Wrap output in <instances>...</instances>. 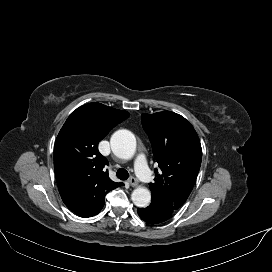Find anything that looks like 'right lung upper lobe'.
Here are the masks:
<instances>
[{
  "label": "right lung upper lobe",
  "mask_w": 272,
  "mask_h": 272,
  "mask_svg": "<svg viewBox=\"0 0 272 272\" xmlns=\"http://www.w3.org/2000/svg\"><path fill=\"white\" fill-rule=\"evenodd\" d=\"M129 113L100 103L77 108L61 128L54 148V170L65 205L80 217L100 212L105 195L123 185L108 176L98 143Z\"/></svg>",
  "instance_id": "right-lung-upper-lobe-1"
}]
</instances>
